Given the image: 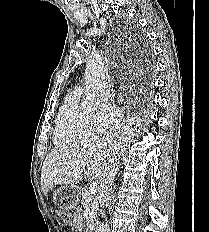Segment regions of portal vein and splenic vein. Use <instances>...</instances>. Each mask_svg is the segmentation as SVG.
<instances>
[{
	"label": "portal vein and splenic vein",
	"instance_id": "1",
	"mask_svg": "<svg viewBox=\"0 0 209 232\" xmlns=\"http://www.w3.org/2000/svg\"><path fill=\"white\" fill-rule=\"evenodd\" d=\"M73 164L79 165V166H82V167L86 166V162L80 161V160H78V161H73ZM97 187H98L97 182H96V181H92L91 184H90V187H89V193H90V195L96 193Z\"/></svg>",
	"mask_w": 209,
	"mask_h": 232
}]
</instances>
